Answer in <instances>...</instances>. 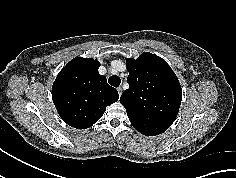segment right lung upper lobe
Segmentation results:
<instances>
[{"label": "right lung upper lobe", "mask_w": 236, "mask_h": 178, "mask_svg": "<svg viewBox=\"0 0 236 178\" xmlns=\"http://www.w3.org/2000/svg\"><path fill=\"white\" fill-rule=\"evenodd\" d=\"M100 63L76 57L57 75L52 87L55 107L68 125L86 129L96 123L108 105L119 98L115 88L98 73Z\"/></svg>", "instance_id": "1"}]
</instances>
